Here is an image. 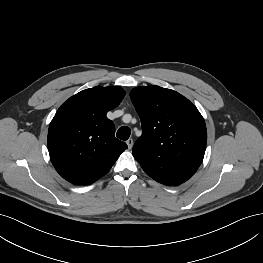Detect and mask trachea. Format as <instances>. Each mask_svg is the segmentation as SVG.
<instances>
[{"label":"trachea","mask_w":263,"mask_h":263,"mask_svg":"<svg viewBox=\"0 0 263 263\" xmlns=\"http://www.w3.org/2000/svg\"><path fill=\"white\" fill-rule=\"evenodd\" d=\"M130 134H131L130 128L123 126V127L119 128L116 136L119 139L126 141L130 137Z\"/></svg>","instance_id":"3493384b"}]
</instances>
